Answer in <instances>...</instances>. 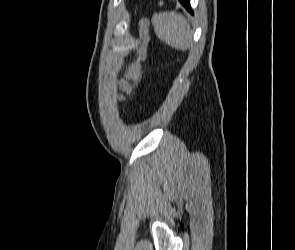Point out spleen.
Wrapping results in <instances>:
<instances>
[{"label":"spleen","mask_w":295,"mask_h":250,"mask_svg":"<svg viewBox=\"0 0 295 250\" xmlns=\"http://www.w3.org/2000/svg\"><path fill=\"white\" fill-rule=\"evenodd\" d=\"M152 23L158 38L170 47L180 51L190 48L193 31L182 14L167 11L156 13Z\"/></svg>","instance_id":"obj_1"}]
</instances>
